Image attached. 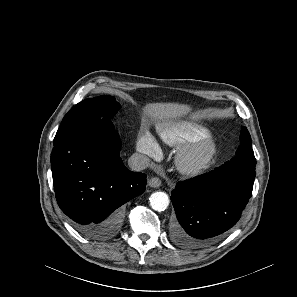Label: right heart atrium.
I'll return each instance as SVG.
<instances>
[{
	"label": "right heart atrium",
	"instance_id": "obj_1",
	"mask_svg": "<svg viewBox=\"0 0 297 297\" xmlns=\"http://www.w3.org/2000/svg\"><path fill=\"white\" fill-rule=\"evenodd\" d=\"M137 149L140 153L148 157H157L159 155V147L154 137L144 132L139 135L137 141Z\"/></svg>",
	"mask_w": 297,
	"mask_h": 297
}]
</instances>
